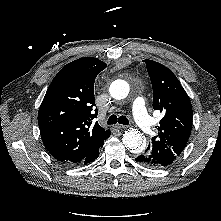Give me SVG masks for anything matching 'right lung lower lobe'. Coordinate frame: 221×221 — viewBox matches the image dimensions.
<instances>
[{"label": "right lung lower lobe", "instance_id": "1", "mask_svg": "<svg viewBox=\"0 0 221 221\" xmlns=\"http://www.w3.org/2000/svg\"><path fill=\"white\" fill-rule=\"evenodd\" d=\"M110 134H111V132L109 131L108 137L110 136ZM102 146H103V144H102ZM102 146L100 148H102ZM100 148L98 150L94 151L93 153H91L88 157H86L85 160L81 164H87V163L94 161L99 156Z\"/></svg>", "mask_w": 221, "mask_h": 221}]
</instances>
